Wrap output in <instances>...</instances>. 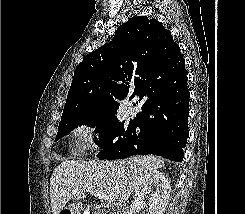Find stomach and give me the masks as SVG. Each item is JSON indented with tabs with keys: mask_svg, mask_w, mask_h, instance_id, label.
<instances>
[{
	"mask_svg": "<svg viewBox=\"0 0 245 214\" xmlns=\"http://www.w3.org/2000/svg\"><path fill=\"white\" fill-rule=\"evenodd\" d=\"M70 214H82V205L80 203H72L68 206Z\"/></svg>",
	"mask_w": 245,
	"mask_h": 214,
	"instance_id": "stomach-1",
	"label": "stomach"
}]
</instances>
